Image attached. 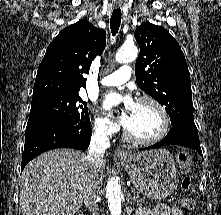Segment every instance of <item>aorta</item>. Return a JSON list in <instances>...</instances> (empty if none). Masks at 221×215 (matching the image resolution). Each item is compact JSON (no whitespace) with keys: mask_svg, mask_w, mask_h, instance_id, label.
I'll return each instance as SVG.
<instances>
[{"mask_svg":"<svg viewBox=\"0 0 221 215\" xmlns=\"http://www.w3.org/2000/svg\"><path fill=\"white\" fill-rule=\"evenodd\" d=\"M138 56L136 46H122L115 55V60L119 63H129ZM106 197L111 215H121V201L123 199L120 183L115 179H110L106 185Z\"/></svg>","mask_w":221,"mask_h":215,"instance_id":"aorta-1","label":"aorta"}]
</instances>
